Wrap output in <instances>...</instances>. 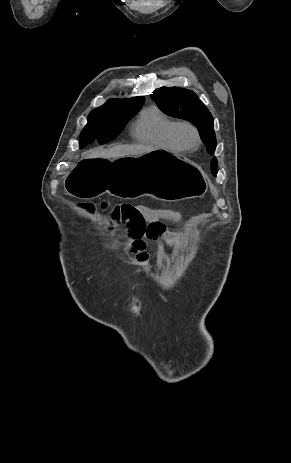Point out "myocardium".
<instances>
[{
  "label": "myocardium",
  "instance_id": "f54148a6",
  "mask_svg": "<svg viewBox=\"0 0 291 463\" xmlns=\"http://www.w3.org/2000/svg\"><path fill=\"white\" fill-rule=\"evenodd\" d=\"M182 129L189 130L191 134L193 135L194 142L192 145H185L180 139V131ZM171 137L174 143L178 146V148L184 151H193L197 149L201 144V136H200L198 128L194 124L188 121L175 122L171 129Z\"/></svg>",
  "mask_w": 291,
  "mask_h": 463
}]
</instances>
